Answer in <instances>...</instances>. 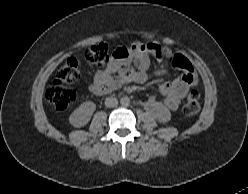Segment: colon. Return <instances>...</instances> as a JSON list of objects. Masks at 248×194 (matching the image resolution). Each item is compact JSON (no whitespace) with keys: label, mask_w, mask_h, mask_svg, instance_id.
<instances>
[{"label":"colon","mask_w":248,"mask_h":194,"mask_svg":"<svg viewBox=\"0 0 248 194\" xmlns=\"http://www.w3.org/2000/svg\"><path fill=\"white\" fill-rule=\"evenodd\" d=\"M158 61L167 60L171 64L173 54L159 48L153 52ZM88 63L105 67L111 58L105 43L90 46L85 53ZM82 60L78 57L67 59L58 71L57 77L51 80L46 88V97L57 109H65L76 98L72 83L80 77ZM200 109V95L196 90L188 93L182 104V111L186 116H195Z\"/></svg>","instance_id":"colon-1"}]
</instances>
